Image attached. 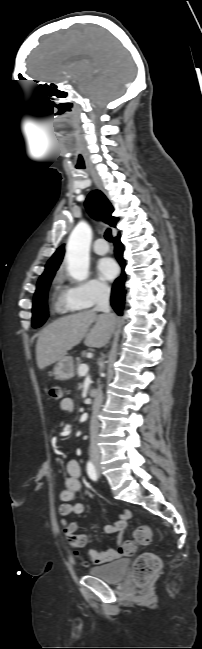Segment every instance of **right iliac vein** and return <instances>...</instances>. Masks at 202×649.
I'll return each instance as SVG.
<instances>
[{"instance_id":"63e3f726","label":"right iliac vein","mask_w":202,"mask_h":649,"mask_svg":"<svg viewBox=\"0 0 202 649\" xmlns=\"http://www.w3.org/2000/svg\"><path fill=\"white\" fill-rule=\"evenodd\" d=\"M94 463H95L96 467L99 469L100 466H99L98 462L95 461Z\"/></svg>"}]
</instances>
